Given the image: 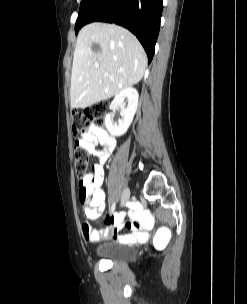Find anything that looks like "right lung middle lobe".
Segmentation results:
<instances>
[{"label":"right lung middle lobe","instance_id":"right-lung-middle-lobe-1","mask_svg":"<svg viewBox=\"0 0 247 304\" xmlns=\"http://www.w3.org/2000/svg\"><path fill=\"white\" fill-rule=\"evenodd\" d=\"M103 0H81L78 18L76 20L75 32L83 26L82 22Z\"/></svg>","mask_w":247,"mask_h":304}]
</instances>
